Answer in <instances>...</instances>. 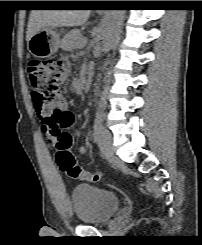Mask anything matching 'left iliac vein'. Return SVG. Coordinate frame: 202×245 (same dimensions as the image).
<instances>
[{
    "label": "left iliac vein",
    "instance_id": "left-iliac-vein-1",
    "mask_svg": "<svg viewBox=\"0 0 202 245\" xmlns=\"http://www.w3.org/2000/svg\"><path fill=\"white\" fill-rule=\"evenodd\" d=\"M113 140L110 133L106 129H102L98 135V146L101 154L107 160H112L115 157Z\"/></svg>",
    "mask_w": 202,
    "mask_h": 245
}]
</instances>
